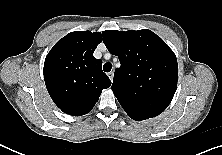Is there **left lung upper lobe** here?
<instances>
[{"mask_svg": "<svg viewBox=\"0 0 222 155\" xmlns=\"http://www.w3.org/2000/svg\"><path fill=\"white\" fill-rule=\"evenodd\" d=\"M108 51L118 56L112 91L126 113L144 120L162 113L177 87L178 64L173 51L150 30L102 33Z\"/></svg>", "mask_w": 222, "mask_h": 155, "instance_id": "5c2ea615", "label": "left lung upper lobe"}]
</instances>
